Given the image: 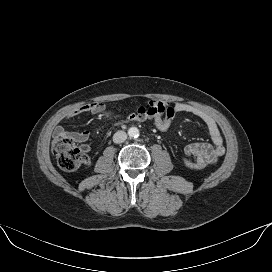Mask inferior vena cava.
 Listing matches in <instances>:
<instances>
[{
    "mask_svg": "<svg viewBox=\"0 0 272 272\" xmlns=\"http://www.w3.org/2000/svg\"><path fill=\"white\" fill-rule=\"evenodd\" d=\"M127 139V134L124 131H117L113 136L114 143H122Z\"/></svg>",
    "mask_w": 272,
    "mask_h": 272,
    "instance_id": "1",
    "label": "inferior vena cava"
}]
</instances>
